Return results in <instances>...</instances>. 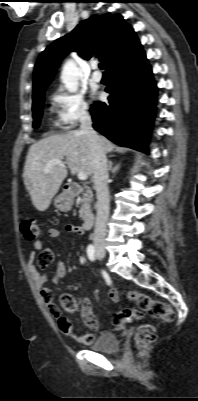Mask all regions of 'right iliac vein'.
I'll return each mask as SVG.
<instances>
[{"label":"right iliac vein","mask_w":198,"mask_h":401,"mask_svg":"<svg viewBox=\"0 0 198 401\" xmlns=\"http://www.w3.org/2000/svg\"><path fill=\"white\" fill-rule=\"evenodd\" d=\"M96 250H97V255L100 258L104 259L105 258V251H104L103 247L102 246H97Z\"/></svg>","instance_id":"1"}]
</instances>
